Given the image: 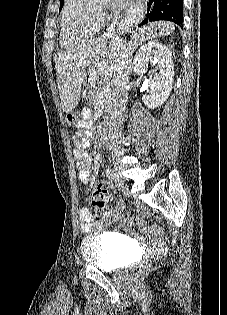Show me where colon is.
I'll list each match as a JSON object with an SVG mask.
<instances>
[{
	"label": "colon",
	"instance_id": "1",
	"mask_svg": "<svg viewBox=\"0 0 227 315\" xmlns=\"http://www.w3.org/2000/svg\"><path fill=\"white\" fill-rule=\"evenodd\" d=\"M77 115L74 113H69L67 115V123L69 126H75L77 124ZM110 200V195L108 191L96 187L92 191L91 202L95 208V214L97 218H100L101 223H108L111 214V208L108 205ZM150 268V265L145 262L140 264L134 271V276L139 277L141 274L146 272Z\"/></svg>",
	"mask_w": 227,
	"mask_h": 315
}]
</instances>
